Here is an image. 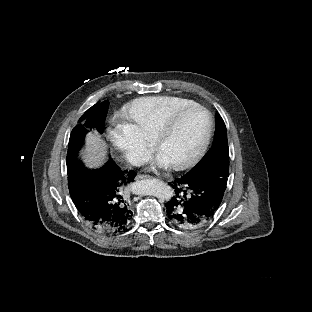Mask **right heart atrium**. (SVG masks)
I'll return each instance as SVG.
<instances>
[{"label":"right heart atrium","mask_w":312,"mask_h":312,"mask_svg":"<svg viewBox=\"0 0 312 312\" xmlns=\"http://www.w3.org/2000/svg\"><path fill=\"white\" fill-rule=\"evenodd\" d=\"M114 139L121 145V152L132 165L146 167L151 162V153L145 148L139 126L132 120H125L114 132Z\"/></svg>","instance_id":"right-heart-atrium-1"}]
</instances>
